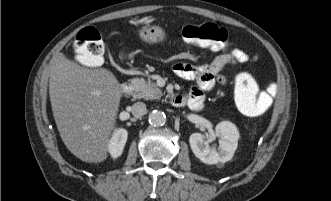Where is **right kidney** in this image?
Instances as JSON below:
<instances>
[{"mask_svg":"<svg viewBox=\"0 0 331 201\" xmlns=\"http://www.w3.org/2000/svg\"><path fill=\"white\" fill-rule=\"evenodd\" d=\"M127 131L125 129H117L108 144V150L113 158H117L122 154L123 148L127 141Z\"/></svg>","mask_w":331,"mask_h":201,"instance_id":"obj_1","label":"right kidney"}]
</instances>
